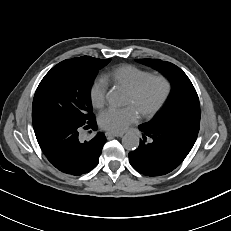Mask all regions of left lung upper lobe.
I'll list each match as a JSON object with an SVG mask.
<instances>
[{
	"label": "left lung upper lobe",
	"mask_w": 231,
	"mask_h": 231,
	"mask_svg": "<svg viewBox=\"0 0 231 231\" xmlns=\"http://www.w3.org/2000/svg\"><path fill=\"white\" fill-rule=\"evenodd\" d=\"M137 61L160 71L172 84L171 95L163 111L144 126L198 133L200 104L196 90L187 75L170 62L159 59H137Z\"/></svg>",
	"instance_id": "5c2ea615"
}]
</instances>
